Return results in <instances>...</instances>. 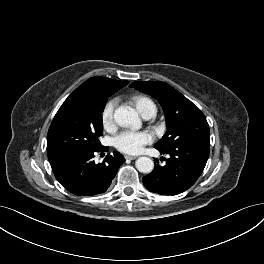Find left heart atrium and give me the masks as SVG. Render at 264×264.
I'll use <instances>...</instances> for the list:
<instances>
[{"label": "left heart atrium", "mask_w": 264, "mask_h": 264, "mask_svg": "<svg viewBox=\"0 0 264 264\" xmlns=\"http://www.w3.org/2000/svg\"><path fill=\"white\" fill-rule=\"evenodd\" d=\"M151 141L152 136L147 131H123L115 138V146L121 152L134 154Z\"/></svg>", "instance_id": "1"}]
</instances>
